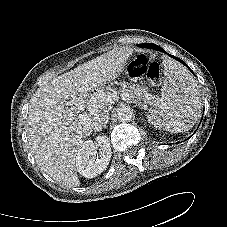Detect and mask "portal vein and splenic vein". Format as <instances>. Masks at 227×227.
Returning <instances> with one entry per match:
<instances>
[{"instance_id": "18ae733b", "label": "portal vein and splenic vein", "mask_w": 227, "mask_h": 227, "mask_svg": "<svg viewBox=\"0 0 227 227\" xmlns=\"http://www.w3.org/2000/svg\"><path fill=\"white\" fill-rule=\"evenodd\" d=\"M122 98L125 99L126 97H128L129 95L127 93L121 94ZM151 99V95L147 94L146 96V100H150ZM78 122L77 123H73L74 126H84L89 124V116L86 113H81L78 115Z\"/></svg>"}]
</instances>
